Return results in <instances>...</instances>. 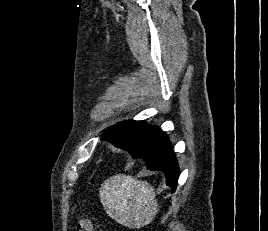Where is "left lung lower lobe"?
<instances>
[{
	"mask_svg": "<svg viewBox=\"0 0 268 231\" xmlns=\"http://www.w3.org/2000/svg\"><path fill=\"white\" fill-rule=\"evenodd\" d=\"M104 137V133L102 134ZM133 158H141L146 162L147 168L162 171L167 180V185L174 191L177 187L179 168L171 143L166 134L160 129L146 143L130 146L126 149Z\"/></svg>",
	"mask_w": 268,
	"mask_h": 231,
	"instance_id": "obj_1",
	"label": "left lung lower lobe"
}]
</instances>
